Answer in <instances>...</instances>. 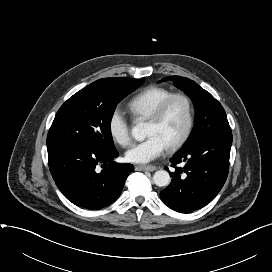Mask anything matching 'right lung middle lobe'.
Returning <instances> with one entry per match:
<instances>
[{"mask_svg": "<svg viewBox=\"0 0 272 272\" xmlns=\"http://www.w3.org/2000/svg\"><path fill=\"white\" fill-rule=\"evenodd\" d=\"M144 79H99L70 97L58 110L47 136L48 155L69 147L115 149L110 123L117 104Z\"/></svg>", "mask_w": 272, "mask_h": 272, "instance_id": "obj_1", "label": "right lung middle lobe"}]
</instances>
